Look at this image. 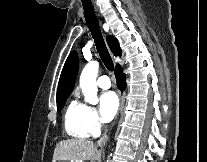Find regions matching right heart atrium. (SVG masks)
Returning <instances> with one entry per match:
<instances>
[{
    "label": "right heart atrium",
    "instance_id": "right-heart-atrium-1",
    "mask_svg": "<svg viewBox=\"0 0 207 162\" xmlns=\"http://www.w3.org/2000/svg\"><path fill=\"white\" fill-rule=\"evenodd\" d=\"M86 122L90 134H98L101 124L97 110L94 107L87 106Z\"/></svg>",
    "mask_w": 207,
    "mask_h": 162
}]
</instances>
